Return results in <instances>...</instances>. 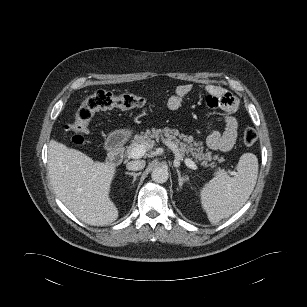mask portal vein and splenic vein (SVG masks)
Masks as SVG:
<instances>
[{
    "instance_id": "obj_1",
    "label": "portal vein and splenic vein",
    "mask_w": 307,
    "mask_h": 307,
    "mask_svg": "<svg viewBox=\"0 0 307 307\" xmlns=\"http://www.w3.org/2000/svg\"><path fill=\"white\" fill-rule=\"evenodd\" d=\"M145 152H146V147L143 145H139L131 150L129 156L134 159H139L144 156ZM179 160H180L179 157L176 156L175 163L177 165H179ZM184 162L188 168L193 170L197 169V165L190 158H185Z\"/></svg>"
}]
</instances>
